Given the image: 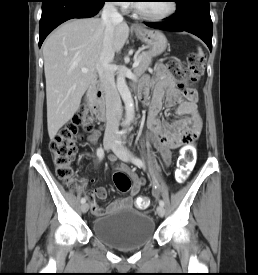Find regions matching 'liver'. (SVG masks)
Returning <instances> with one entry per match:
<instances>
[{
    "instance_id": "liver-1",
    "label": "liver",
    "mask_w": 258,
    "mask_h": 275,
    "mask_svg": "<svg viewBox=\"0 0 258 275\" xmlns=\"http://www.w3.org/2000/svg\"><path fill=\"white\" fill-rule=\"evenodd\" d=\"M105 28L99 18L73 19L53 31L43 44L47 127L50 139L78 110L95 76ZM129 36L125 22L115 25L113 48L119 52ZM86 68L87 72H82Z\"/></svg>"
}]
</instances>
